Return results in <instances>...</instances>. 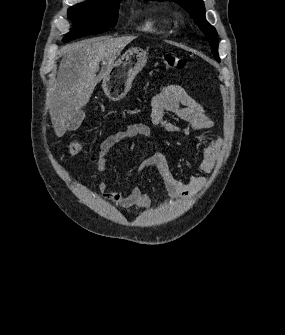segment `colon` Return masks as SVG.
Here are the masks:
<instances>
[{"label":"colon","instance_id":"obj_1","mask_svg":"<svg viewBox=\"0 0 285 335\" xmlns=\"http://www.w3.org/2000/svg\"><path fill=\"white\" fill-rule=\"evenodd\" d=\"M162 62L167 68L172 70H180L186 66V60L170 52L162 55ZM82 147L83 140L81 138H75L69 144L68 151L71 155H76Z\"/></svg>","mask_w":285,"mask_h":335}]
</instances>
